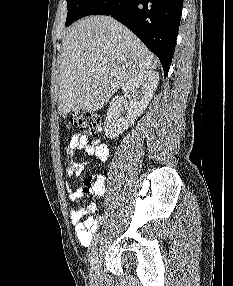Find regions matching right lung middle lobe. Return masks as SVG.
Returning a JSON list of instances; mask_svg holds the SVG:
<instances>
[{"mask_svg": "<svg viewBox=\"0 0 233 286\" xmlns=\"http://www.w3.org/2000/svg\"><path fill=\"white\" fill-rule=\"evenodd\" d=\"M95 0H67V19L66 26L71 25L74 21L78 20L83 12L94 2Z\"/></svg>", "mask_w": 233, "mask_h": 286, "instance_id": "right-lung-middle-lobe-1", "label": "right lung middle lobe"}]
</instances>
